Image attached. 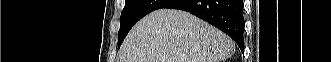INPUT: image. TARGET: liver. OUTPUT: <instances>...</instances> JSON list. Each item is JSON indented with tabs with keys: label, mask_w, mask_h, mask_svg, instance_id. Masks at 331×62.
<instances>
[{
	"label": "liver",
	"mask_w": 331,
	"mask_h": 62,
	"mask_svg": "<svg viewBox=\"0 0 331 62\" xmlns=\"http://www.w3.org/2000/svg\"><path fill=\"white\" fill-rule=\"evenodd\" d=\"M233 40L192 14L159 9L131 29L120 62H221L233 55Z\"/></svg>",
	"instance_id": "obj_1"
}]
</instances>
